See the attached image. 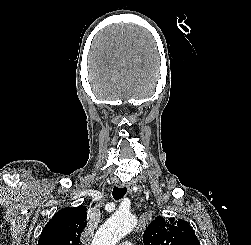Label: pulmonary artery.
Returning <instances> with one entry per match:
<instances>
[{
  "label": "pulmonary artery",
  "mask_w": 251,
  "mask_h": 245,
  "mask_svg": "<svg viewBox=\"0 0 251 245\" xmlns=\"http://www.w3.org/2000/svg\"><path fill=\"white\" fill-rule=\"evenodd\" d=\"M120 245H132L131 243H129V242H123L122 244H120Z\"/></svg>",
  "instance_id": "1"
}]
</instances>
